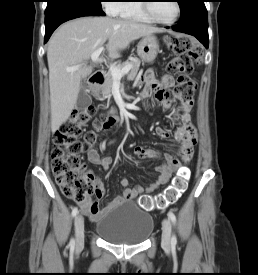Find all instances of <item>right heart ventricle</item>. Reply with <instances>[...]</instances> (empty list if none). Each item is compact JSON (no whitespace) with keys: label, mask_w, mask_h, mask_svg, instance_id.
Wrapping results in <instances>:
<instances>
[{"label":"right heart ventricle","mask_w":258,"mask_h":275,"mask_svg":"<svg viewBox=\"0 0 258 275\" xmlns=\"http://www.w3.org/2000/svg\"><path fill=\"white\" fill-rule=\"evenodd\" d=\"M121 2V1H119ZM142 0H126L119 3L114 15L144 23H153L142 7Z\"/></svg>","instance_id":"e07e8e85"}]
</instances>
